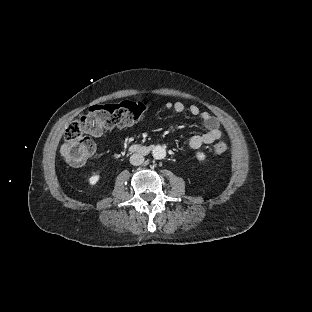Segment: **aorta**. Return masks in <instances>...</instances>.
<instances>
[{"label": "aorta", "instance_id": "762f6f07", "mask_svg": "<svg viewBox=\"0 0 312 312\" xmlns=\"http://www.w3.org/2000/svg\"><path fill=\"white\" fill-rule=\"evenodd\" d=\"M152 156L155 159H164L166 157V150L161 145H155L152 149Z\"/></svg>", "mask_w": 312, "mask_h": 312}]
</instances>
